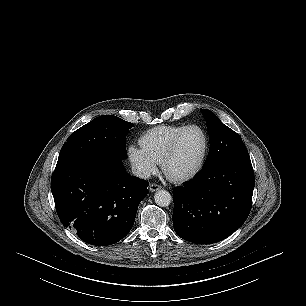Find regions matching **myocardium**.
Instances as JSON below:
<instances>
[{
  "mask_svg": "<svg viewBox=\"0 0 306 306\" xmlns=\"http://www.w3.org/2000/svg\"><path fill=\"white\" fill-rule=\"evenodd\" d=\"M190 129H198L203 134V137H204V151H203L202 157H201L198 165L191 172H189L187 174H184V175L172 176L167 171L168 164L170 163V161L176 155L177 150H178V146H179V143H180L182 137ZM209 148H210L209 136H208L207 132L205 131V129L203 127H201L200 125H197V124H190V125L185 126L176 135V137L174 138V140L172 141V143L170 145V148L168 149L167 153L165 154V156L163 157V159L161 161V168H162L163 173L166 175V177L168 179H170L173 182H177V183L192 180L202 171V169L205 165L208 153H209Z\"/></svg>",
  "mask_w": 306,
  "mask_h": 306,
  "instance_id": "f54148a6",
  "label": "myocardium"
}]
</instances>
